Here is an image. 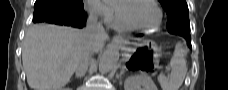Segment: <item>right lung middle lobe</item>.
Masks as SVG:
<instances>
[{
  "label": "right lung middle lobe",
  "mask_w": 228,
  "mask_h": 90,
  "mask_svg": "<svg viewBox=\"0 0 228 90\" xmlns=\"http://www.w3.org/2000/svg\"><path fill=\"white\" fill-rule=\"evenodd\" d=\"M37 1L38 0H36V2ZM62 2H66L70 7H72V6L82 7L83 6L82 0H65V1H62Z\"/></svg>",
  "instance_id": "right-lung-middle-lobe-1"
}]
</instances>
